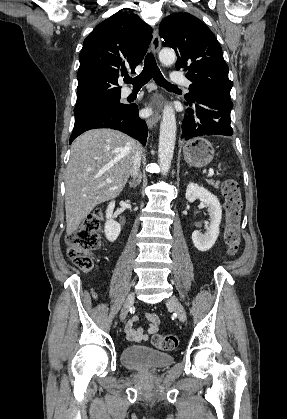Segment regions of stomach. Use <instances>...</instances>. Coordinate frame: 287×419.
<instances>
[{
	"mask_svg": "<svg viewBox=\"0 0 287 419\" xmlns=\"http://www.w3.org/2000/svg\"><path fill=\"white\" fill-rule=\"evenodd\" d=\"M183 157L190 166L204 167L213 160L214 148L205 138L195 137L185 143Z\"/></svg>",
	"mask_w": 287,
	"mask_h": 419,
	"instance_id": "stomach-1",
	"label": "stomach"
}]
</instances>
